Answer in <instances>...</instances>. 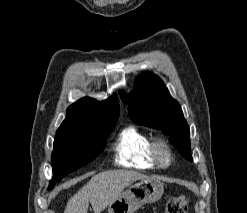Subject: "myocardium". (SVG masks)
I'll list each match as a JSON object with an SVG mask.
<instances>
[{
    "instance_id": "myocardium-1",
    "label": "myocardium",
    "mask_w": 247,
    "mask_h": 213,
    "mask_svg": "<svg viewBox=\"0 0 247 213\" xmlns=\"http://www.w3.org/2000/svg\"><path fill=\"white\" fill-rule=\"evenodd\" d=\"M151 155L160 168H168L174 161L171 145L164 139L158 138L151 142Z\"/></svg>"
}]
</instances>
